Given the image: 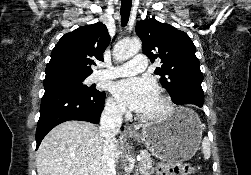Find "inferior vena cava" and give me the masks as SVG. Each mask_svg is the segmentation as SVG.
<instances>
[{"instance_id": "inferior-vena-cava-1", "label": "inferior vena cava", "mask_w": 251, "mask_h": 175, "mask_svg": "<svg viewBox=\"0 0 251 175\" xmlns=\"http://www.w3.org/2000/svg\"><path fill=\"white\" fill-rule=\"evenodd\" d=\"M124 111V107H120V105H107L101 113L99 131L100 135L104 137V151L100 175H116L115 157L112 151L116 141L115 135L121 127Z\"/></svg>"}]
</instances>
